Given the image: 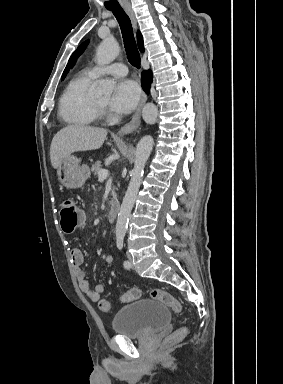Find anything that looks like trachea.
Wrapping results in <instances>:
<instances>
[{"label": "trachea", "mask_w": 283, "mask_h": 384, "mask_svg": "<svg viewBox=\"0 0 283 384\" xmlns=\"http://www.w3.org/2000/svg\"><path fill=\"white\" fill-rule=\"evenodd\" d=\"M107 10H111L120 25L128 61L131 65H133V67L140 68L141 59L133 35V28L130 18L121 7L107 8Z\"/></svg>", "instance_id": "obj_1"}]
</instances>
